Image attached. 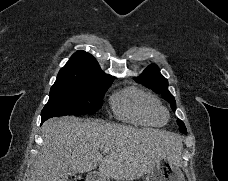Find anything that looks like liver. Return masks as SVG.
Segmentation results:
<instances>
[{
	"label": "liver",
	"instance_id": "1",
	"mask_svg": "<svg viewBox=\"0 0 228 181\" xmlns=\"http://www.w3.org/2000/svg\"><path fill=\"white\" fill-rule=\"evenodd\" d=\"M41 131L43 143L29 181H68L70 171L90 173L98 165L101 181H133L151 173L160 157L177 165L183 149L174 133L97 119L54 117Z\"/></svg>",
	"mask_w": 228,
	"mask_h": 181
}]
</instances>
